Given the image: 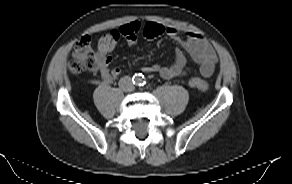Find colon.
Listing matches in <instances>:
<instances>
[{
    "mask_svg": "<svg viewBox=\"0 0 292 184\" xmlns=\"http://www.w3.org/2000/svg\"><path fill=\"white\" fill-rule=\"evenodd\" d=\"M143 36L148 41H153L163 34L161 24L147 22L143 28ZM120 38L118 30H112L99 39L98 50L109 52L117 45ZM95 51L90 37L83 36L74 46L73 59L69 63V69L74 74H79L85 70H92L95 67ZM190 85L200 91H206L209 87L208 82L200 77H193Z\"/></svg>",
    "mask_w": 292,
    "mask_h": 184,
    "instance_id": "colon-1",
    "label": "colon"
}]
</instances>
